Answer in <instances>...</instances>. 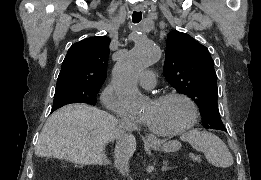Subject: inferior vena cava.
<instances>
[{
  "mask_svg": "<svg viewBox=\"0 0 261 180\" xmlns=\"http://www.w3.org/2000/svg\"><path fill=\"white\" fill-rule=\"evenodd\" d=\"M127 128H133V124H127ZM130 158L127 150H118L115 154L114 168L120 170L121 174H126V172H129Z\"/></svg>",
  "mask_w": 261,
  "mask_h": 180,
  "instance_id": "602c4592",
  "label": "inferior vena cava"
}]
</instances>
